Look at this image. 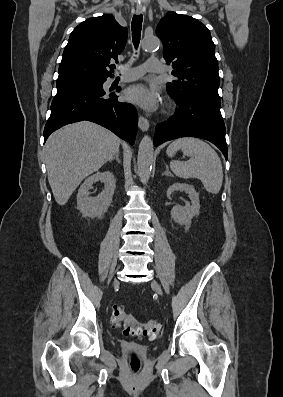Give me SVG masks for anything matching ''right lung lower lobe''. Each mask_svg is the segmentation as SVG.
I'll return each instance as SVG.
<instances>
[{"label": "right lung lower lobe", "instance_id": "right-lung-lower-lobe-1", "mask_svg": "<svg viewBox=\"0 0 283 397\" xmlns=\"http://www.w3.org/2000/svg\"><path fill=\"white\" fill-rule=\"evenodd\" d=\"M82 120L102 125L134 144L138 122L135 108L129 103L119 102L115 94H106L102 87H73L57 91L45 125L44 142L60 127Z\"/></svg>", "mask_w": 283, "mask_h": 397}]
</instances>
